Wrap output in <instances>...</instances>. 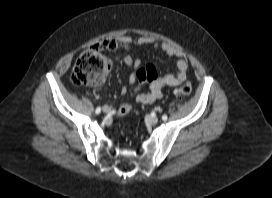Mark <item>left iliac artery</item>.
<instances>
[{"mask_svg": "<svg viewBox=\"0 0 272 198\" xmlns=\"http://www.w3.org/2000/svg\"><path fill=\"white\" fill-rule=\"evenodd\" d=\"M167 118H168L167 115H163V116H162V120H164V121H166Z\"/></svg>", "mask_w": 272, "mask_h": 198, "instance_id": "left-iliac-artery-1", "label": "left iliac artery"}]
</instances>
